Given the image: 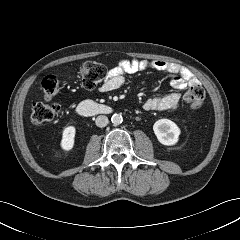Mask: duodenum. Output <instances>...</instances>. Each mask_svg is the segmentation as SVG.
I'll use <instances>...</instances> for the list:
<instances>
[{
	"label": "duodenum",
	"mask_w": 240,
	"mask_h": 240,
	"mask_svg": "<svg viewBox=\"0 0 240 240\" xmlns=\"http://www.w3.org/2000/svg\"><path fill=\"white\" fill-rule=\"evenodd\" d=\"M110 112L111 108L109 106L99 104L93 100L83 101L77 107V113L82 116L108 114Z\"/></svg>",
	"instance_id": "1"
}]
</instances>
